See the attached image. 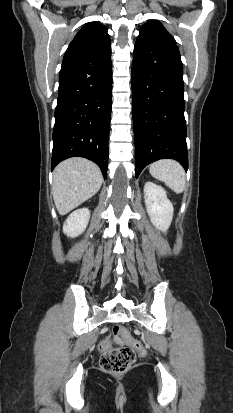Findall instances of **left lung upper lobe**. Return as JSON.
Returning a JSON list of instances; mask_svg holds the SVG:
<instances>
[{"instance_id":"obj_1","label":"left lung upper lobe","mask_w":233,"mask_h":413,"mask_svg":"<svg viewBox=\"0 0 233 413\" xmlns=\"http://www.w3.org/2000/svg\"><path fill=\"white\" fill-rule=\"evenodd\" d=\"M149 39H160L176 45L173 36L158 21H148V23L142 25L136 42H143Z\"/></svg>"}]
</instances>
